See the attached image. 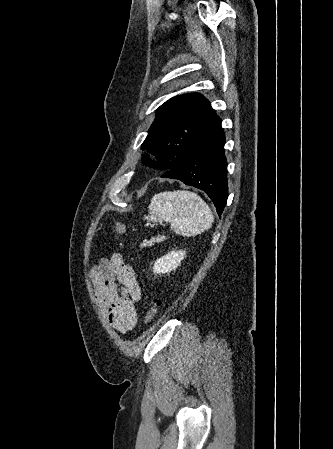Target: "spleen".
<instances>
[{"mask_svg":"<svg viewBox=\"0 0 333 449\" xmlns=\"http://www.w3.org/2000/svg\"><path fill=\"white\" fill-rule=\"evenodd\" d=\"M147 221H169L177 234L193 236L208 230L214 221L209 205L195 192L165 191L155 194Z\"/></svg>","mask_w":333,"mask_h":449,"instance_id":"obj_1","label":"spleen"}]
</instances>
